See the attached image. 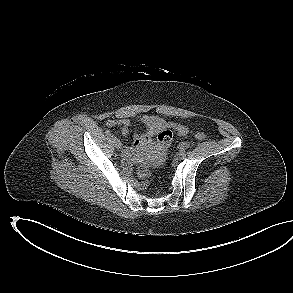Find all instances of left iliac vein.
<instances>
[{"label": "left iliac vein", "mask_w": 293, "mask_h": 293, "mask_svg": "<svg viewBox=\"0 0 293 293\" xmlns=\"http://www.w3.org/2000/svg\"><path fill=\"white\" fill-rule=\"evenodd\" d=\"M177 155L178 158L183 159L186 156V153L184 151H180Z\"/></svg>", "instance_id": "1"}]
</instances>
